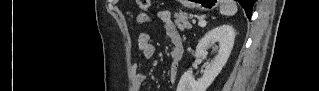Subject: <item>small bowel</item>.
<instances>
[{
	"instance_id": "obj_1",
	"label": "small bowel",
	"mask_w": 319,
	"mask_h": 91,
	"mask_svg": "<svg viewBox=\"0 0 319 91\" xmlns=\"http://www.w3.org/2000/svg\"><path fill=\"white\" fill-rule=\"evenodd\" d=\"M156 17L162 23L165 33L172 44L170 50V65L168 69V76L171 81H175L178 76L179 62L183 56V41L169 11H160L157 13ZM146 21L147 16L141 15L140 22ZM137 43L139 51L144 58L149 59L154 56L156 48L155 45L150 42V38L147 34H140L138 36ZM132 80L134 90L136 91L141 90L146 82V76L140 71V66L138 64H134L132 66Z\"/></svg>"
}]
</instances>
